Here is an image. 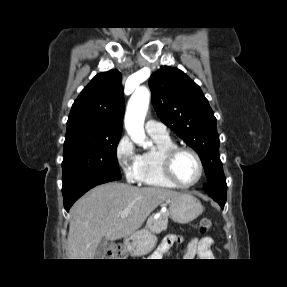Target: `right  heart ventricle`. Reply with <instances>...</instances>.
Listing matches in <instances>:
<instances>
[{
    "label": "right heart ventricle",
    "instance_id": "e07e8e85",
    "mask_svg": "<svg viewBox=\"0 0 287 287\" xmlns=\"http://www.w3.org/2000/svg\"><path fill=\"white\" fill-rule=\"evenodd\" d=\"M151 137L155 143V147L140 155L139 183L162 188H175L177 186L164 173L162 154L167 149L176 146V144L169 136Z\"/></svg>",
    "mask_w": 287,
    "mask_h": 287
}]
</instances>
